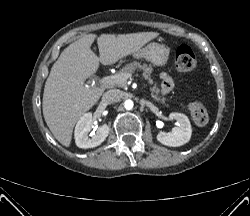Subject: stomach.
<instances>
[{
  "mask_svg": "<svg viewBox=\"0 0 250 216\" xmlns=\"http://www.w3.org/2000/svg\"><path fill=\"white\" fill-rule=\"evenodd\" d=\"M135 58H144L156 66L163 67L169 59V49L158 43H149L132 54Z\"/></svg>",
  "mask_w": 250,
  "mask_h": 216,
  "instance_id": "0dacf381",
  "label": "stomach"
}]
</instances>
